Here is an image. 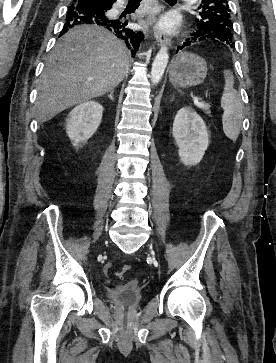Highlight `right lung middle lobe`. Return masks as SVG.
<instances>
[{
  "label": "right lung middle lobe",
  "instance_id": "1",
  "mask_svg": "<svg viewBox=\"0 0 276 363\" xmlns=\"http://www.w3.org/2000/svg\"><path fill=\"white\" fill-rule=\"evenodd\" d=\"M75 1H77V0H73L72 4H75L76 3Z\"/></svg>",
  "mask_w": 276,
  "mask_h": 363
}]
</instances>
